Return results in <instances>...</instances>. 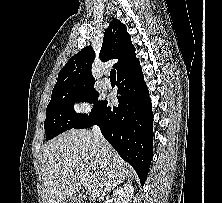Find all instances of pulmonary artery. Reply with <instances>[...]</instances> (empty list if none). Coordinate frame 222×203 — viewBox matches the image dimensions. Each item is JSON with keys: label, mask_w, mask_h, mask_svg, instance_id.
Masks as SVG:
<instances>
[{"label": "pulmonary artery", "mask_w": 222, "mask_h": 203, "mask_svg": "<svg viewBox=\"0 0 222 203\" xmlns=\"http://www.w3.org/2000/svg\"><path fill=\"white\" fill-rule=\"evenodd\" d=\"M102 86L104 88H109L111 86V82H110V79L106 76L103 78L102 80Z\"/></svg>", "instance_id": "obj_1"}]
</instances>
